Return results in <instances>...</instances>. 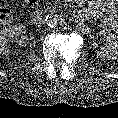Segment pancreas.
Wrapping results in <instances>:
<instances>
[{
    "label": "pancreas",
    "mask_w": 118,
    "mask_h": 118,
    "mask_svg": "<svg viewBox=\"0 0 118 118\" xmlns=\"http://www.w3.org/2000/svg\"><path fill=\"white\" fill-rule=\"evenodd\" d=\"M50 10H56V7H48Z\"/></svg>",
    "instance_id": "obj_1"
}]
</instances>
